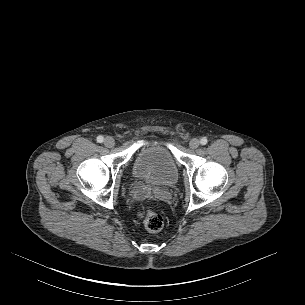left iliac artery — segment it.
<instances>
[{
  "mask_svg": "<svg viewBox=\"0 0 305 305\" xmlns=\"http://www.w3.org/2000/svg\"><path fill=\"white\" fill-rule=\"evenodd\" d=\"M207 142H208V140H207L206 137H203V138H201V140H200V143H201L202 145H206Z\"/></svg>",
  "mask_w": 305,
  "mask_h": 305,
  "instance_id": "left-iliac-artery-1",
  "label": "left iliac artery"
}]
</instances>
